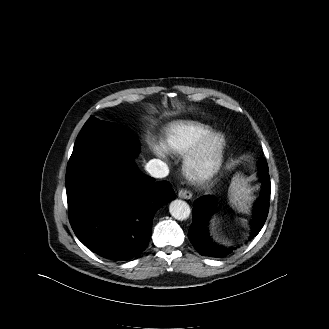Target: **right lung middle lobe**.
<instances>
[{"label":"right lung middle lobe","instance_id":"obj_1","mask_svg":"<svg viewBox=\"0 0 329 329\" xmlns=\"http://www.w3.org/2000/svg\"><path fill=\"white\" fill-rule=\"evenodd\" d=\"M139 147V141L134 136H130L127 129L91 116L79 133L67 168L96 152L105 150L126 153L135 157L139 152Z\"/></svg>","mask_w":329,"mask_h":329}]
</instances>
